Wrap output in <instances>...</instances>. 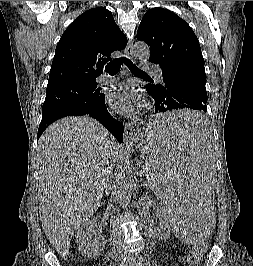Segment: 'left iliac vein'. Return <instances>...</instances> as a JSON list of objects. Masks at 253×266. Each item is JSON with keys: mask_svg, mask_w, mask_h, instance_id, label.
<instances>
[{"mask_svg": "<svg viewBox=\"0 0 253 266\" xmlns=\"http://www.w3.org/2000/svg\"><path fill=\"white\" fill-rule=\"evenodd\" d=\"M130 266H143V264L136 259L134 255H128Z\"/></svg>", "mask_w": 253, "mask_h": 266, "instance_id": "1", "label": "left iliac vein"}]
</instances>
